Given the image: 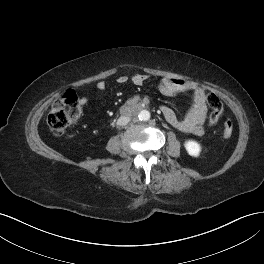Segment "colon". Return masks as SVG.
Segmentation results:
<instances>
[{
  "instance_id": "1",
  "label": "colon",
  "mask_w": 264,
  "mask_h": 264,
  "mask_svg": "<svg viewBox=\"0 0 264 264\" xmlns=\"http://www.w3.org/2000/svg\"><path fill=\"white\" fill-rule=\"evenodd\" d=\"M206 101L211 109L209 124H215L223 113V104L214 93L206 94ZM81 113L78 97L74 90H67L60 95L52 105L48 115V126L54 135H61L66 128L75 121ZM234 124L231 120L223 123V137H231Z\"/></svg>"
}]
</instances>
